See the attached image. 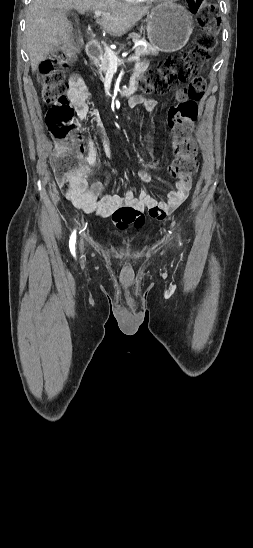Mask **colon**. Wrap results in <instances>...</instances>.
<instances>
[{
    "label": "colon",
    "instance_id": "obj_1",
    "mask_svg": "<svg viewBox=\"0 0 253 548\" xmlns=\"http://www.w3.org/2000/svg\"><path fill=\"white\" fill-rule=\"evenodd\" d=\"M197 13L201 33L196 46L180 56H172L152 66L141 79L140 87L146 94L165 95L172 88L186 83L179 101L168 114L170 130L177 137L175 158L169 167L173 176L191 180L197 171V148L190 137L197 119L196 102L205 93L206 81L201 75L210 53L217 44L220 19L215 6L209 0H187ZM76 57L74 45L63 53L42 61L39 66V82L42 98L49 105L46 124L55 140L53 164L58 181L66 186L77 169L74 159L73 132L76 129L74 108L66 97V70ZM159 158L150 157L151 167L156 168Z\"/></svg>",
    "mask_w": 253,
    "mask_h": 548
}]
</instances>
